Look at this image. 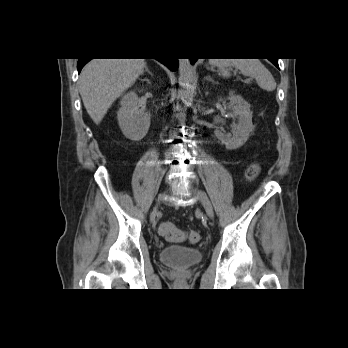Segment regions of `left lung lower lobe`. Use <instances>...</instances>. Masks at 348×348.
<instances>
[{
  "label": "left lung lower lobe",
  "mask_w": 348,
  "mask_h": 348,
  "mask_svg": "<svg viewBox=\"0 0 348 348\" xmlns=\"http://www.w3.org/2000/svg\"><path fill=\"white\" fill-rule=\"evenodd\" d=\"M197 59L192 58L191 59V63L194 64L196 62ZM278 69H279V65H278V60L274 59V60H270Z\"/></svg>",
  "instance_id": "1"
}]
</instances>
